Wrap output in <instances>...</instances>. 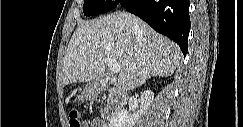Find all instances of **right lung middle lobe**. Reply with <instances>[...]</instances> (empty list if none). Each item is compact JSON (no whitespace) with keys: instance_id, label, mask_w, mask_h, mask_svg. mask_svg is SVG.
Returning a JSON list of instances; mask_svg holds the SVG:
<instances>
[{"instance_id":"dd1d6c3e","label":"right lung middle lobe","mask_w":243,"mask_h":127,"mask_svg":"<svg viewBox=\"0 0 243 127\" xmlns=\"http://www.w3.org/2000/svg\"><path fill=\"white\" fill-rule=\"evenodd\" d=\"M116 2H107L105 0H84L83 12L86 16L98 15L110 11Z\"/></svg>"}]
</instances>
